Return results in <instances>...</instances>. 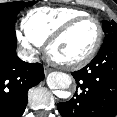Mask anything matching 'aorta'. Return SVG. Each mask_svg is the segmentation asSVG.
<instances>
[{"mask_svg":"<svg viewBox=\"0 0 117 117\" xmlns=\"http://www.w3.org/2000/svg\"><path fill=\"white\" fill-rule=\"evenodd\" d=\"M72 84V78L63 72H52L47 77V85L50 89L55 90L61 98H66L67 93L64 91Z\"/></svg>","mask_w":117,"mask_h":117,"instance_id":"aorta-1","label":"aorta"}]
</instances>
